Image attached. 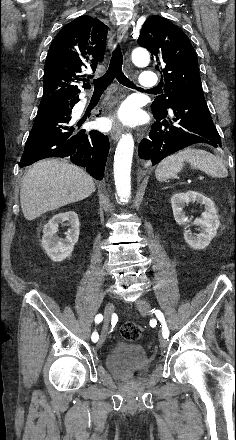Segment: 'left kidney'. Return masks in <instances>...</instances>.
Segmentation results:
<instances>
[{
    "instance_id": "obj_1",
    "label": "left kidney",
    "mask_w": 236,
    "mask_h": 440,
    "mask_svg": "<svg viewBox=\"0 0 236 440\" xmlns=\"http://www.w3.org/2000/svg\"><path fill=\"white\" fill-rule=\"evenodd\" d=\"M190 202H197L205 207V211L200 218H196L192 224L199 226V234L193 235L188 229L190 224L187 223L188 218L185 215L184 208ZM171 205L175 221L179 225H184L185 242L193 249L206 248L212 239L216 236L220 226L217 210L214 202L205 195L188 191L185 193H176L171 197Z\"/></svg>"
}]
</instances>
